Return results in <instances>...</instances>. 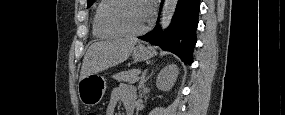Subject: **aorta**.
<instances>
[{"mask_svg":"<svg viewBox=\"0 0 285 115\" xmlns=\"http://www.w3.org/2000/svg\"><path fill=\"white\" fill-rule=\"evenodd\" d=\"M178 4V0H165L163 9H162V17L160 21L161 28L165 30L171 23L173 15L176 10V6Z\"/></svg>","mask_w":285,"mask_h":115,"instance_id":"762f6f07","label":"aorta"}]
</instances>
